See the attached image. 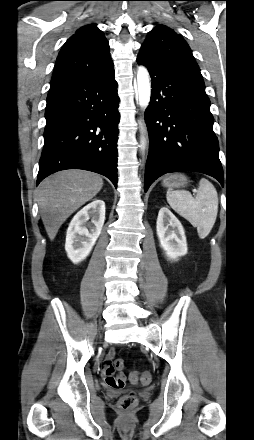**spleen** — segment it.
<instances>
[{
    "label": "spleen",
    "mask_w": 254,
    "mask_h": 440,
    "mask_svg": "<svg viewBox=\"0 0 254 440\" xmlns=\"http://www.w3.org/2000/svg\"><path fill=\"white\" fill-rule=\"evenodd\" d=\"M169 205L182 217L197 227L201 239L207 237L216 221L218 213V195L214 185L202 178L195 197L187 191L167 192Z\"/></svg>",
    "instance_id": "obj_1"
}]
</instances>
